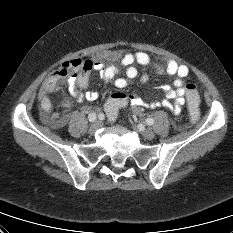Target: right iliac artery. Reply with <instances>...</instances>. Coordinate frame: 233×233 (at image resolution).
<instances>
[{"label":"right iliac artery","mask_w":233,"mask_h":233,"mask_svg":"<svg viewBox=\"0 0 233 233\" xmlns=\"http://www.w3.org/2000/svg\"><path fill=\"white\" fill-rule=\"evenodd\" d=\"M96 119H97V115H96L95 113H90V114L88 115V120H89L90 122H94Z\"/></svg>","instance_id":"82829eb1"}]
</instances>
